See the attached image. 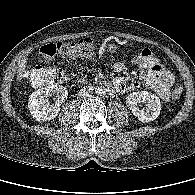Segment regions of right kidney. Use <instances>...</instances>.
Masks as SVG:
<instances>
[{
    "instance_id": "obj_1",
    "label": "right kidney",
    "mask_w": 195,
    "mask_h": 195,
    "mask_svg": "<svg viewBox=\"0 0 195 195\" xmlns=\"http://www.w3.org/2000/svg\"><path fill=\"white\" fill-rule=\"evenodd\" d=\"M55 95L56 103L50 104L49 97ZM68 92L65 87L57 84L48 85L33 92L29 97L28 108L36 121H49L54 119L60 111V103L67 99Z\"/></svg>"
}]
</instances>
